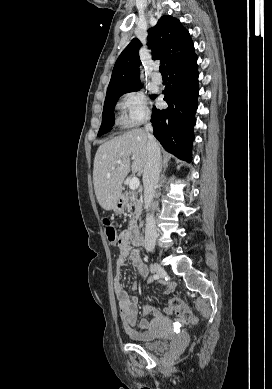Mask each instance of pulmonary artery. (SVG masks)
Returning a JSON list of instances; mask_svg holds the SVG:
<instances>
[{
  "label": "pulmonary artery",
  "mask_w": 272,
  "mask_h": 389,
  "mask_svg": "<svg viewBox=\"0 0 272 389\" xmlns=\"http://www.w3.org/2000/svg\"><path fill=\"white\" fill-rule=\"evenodd\" d=\"M152 81H153V83H155V84H161V83H162V77H161V75H159L158 73H154V74L152 75Z\"/></svg>",
  "instance_id": "pulmonary-artery-1"
}]
</instances>
